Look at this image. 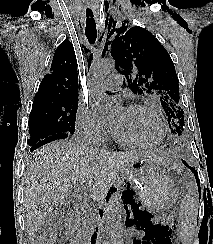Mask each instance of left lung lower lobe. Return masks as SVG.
Listing matches in <instances>:
<instances>
[{
    "label": "left lung lower lobe",
    "mask_w": 213,
    "mask_h": 244,
    "mask_svg": "<svg viewBox=\"0 0 213 244\" xmlns=\"http://www.w3.org/2000/svg\"><path fill=\"white\" fill-rule=\"evenodd\" d=\"M182 161H183L184 165H186V166H187V167H188V168L195 174V178H196V181H197L198 189H199V191H200V184H199V181H198L197 173H196L195 170H194L192 167H190L184 160H182ZM122 198H123V203H124V204H126V203L129 202L128 199H127L126 193L123 194ZM126 208H127V205H124V209L127 211Z\"/></svg>",
    "instance_id": "left-lung-lower-lobe-1"
}]
</instances>
